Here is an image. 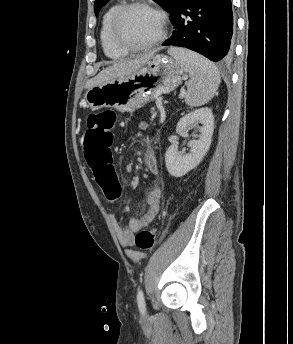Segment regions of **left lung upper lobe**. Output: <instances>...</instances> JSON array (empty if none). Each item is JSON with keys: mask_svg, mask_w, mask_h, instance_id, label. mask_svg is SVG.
<instances>
[{"mask_svg": "<svg viewBox=\"0 0 293 344\" xmlns=\"http://www.w3.org/2000/svg\"><path fill=\"white\" fill-rule=\"evenodd\" d=\"M109 0H96L94 3V11L97 15L100 9L108 2ZM157 4H159L162 8H164L169 14L171 15V19L173 18L175 11L178 7L180 0H153Z\"/></svg>", "mask_w": 293, "mask_h": 344, "instance_id": "left-lung-upper-lobe-1", "label": "left lung upper lobe"}]
</instances>
